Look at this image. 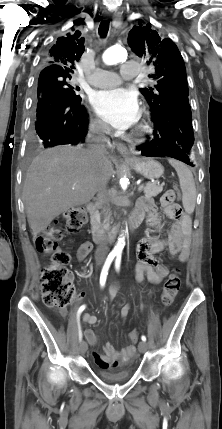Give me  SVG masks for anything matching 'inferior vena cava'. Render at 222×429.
<instances>
[{"mask_svg":"<svg viewBox=\"0 0 222 429\" xmlns=\"http://www.w3.org/2000/svg\"><path fill=\"white\" fill-rule=\"evenodd\" d=\"M110 133V127L100 121H94L89 126V131L86 137V140L88 142V153L92 157L101 156L105 152V141L106 136L105 134ZM106 185L107 183H102L98 190V196L102 199V202L104 205H107L108 199H107V191H106ZM108 253V246L106 242L101 243L95 253L96 260H103Z\"/></svg>","mask_w":222,"mask_h":429,"instance_id":"1","label":"inferior vena cava"}]
</instances>
